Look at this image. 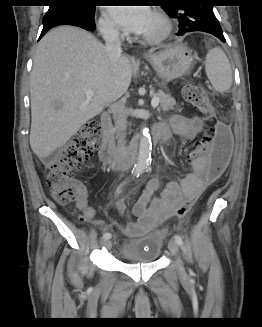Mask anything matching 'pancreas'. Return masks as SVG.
I'll return each instance as SVG.
<instances>
[{
	"label": "pancreas",
	"instance_id": "pancreas-1",
	"mask_svg": "<svg viewBox=\"0 0 262 327\" xmlns=\"http://www.w3.org/2000/svg\"><path fill=\"white\" fill-rule=\"evenodd\" d=\"M155 96L159 98V103H160L159 109H161L164 112L174 109V105L176 104V101L169 94L163 91H158L157 93H155Z\"/></svg>",
	"mask_w": 262,
	"mask_h": 327
}]
</instances>
